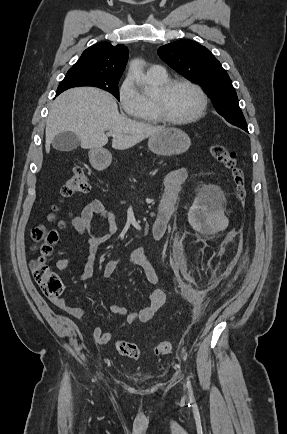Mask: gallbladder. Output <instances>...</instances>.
Here are the masks:
<instances>
[{"label": "gallbladder", "mask_w": 287, "mask_h": 434, "mask_svg": "<svg viewBox=\"0 0 287 434\" xmlns=\"http://www.w3.org/2000/svg\"><path fill=\"white\" fill-rule=\"evenodd\" d=\"M52 145L59 151H72L80 145V139L72 132H63L55 136Z\"/></svg>", "instance_id": "1"}]
</instances>
